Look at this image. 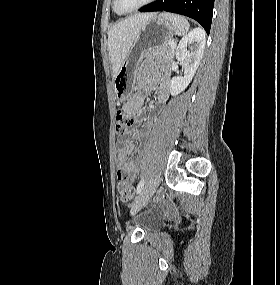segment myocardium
Wrapping results in <instances>:
<instances>
[{"instance_id":"myocardium-1","label":"myocardium","mask_w":280,"mask_h":285,"mask_svg":"<svg viewBox=\"0 0 280 285\" xmlns=\"http://www.w3.org/2000/svg\"><path fill=\"white\" fill-rule=\"evenodd\" d=\"M155 0H145L143 3L139 4L138 6L132 8V9H128V10H124L121 9L120 5H119V0H114V6L115 9L120 13V14H127V13H132L135 12L145 6H147L148 4L154 2Z\"/></svg>"}]
</instances>
